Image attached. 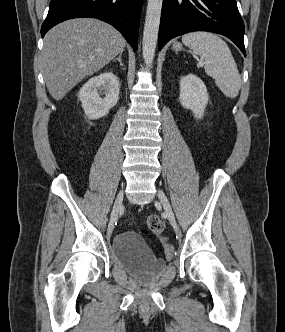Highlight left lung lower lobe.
Masks as SVG:
<instances>
[{"label":"left lung lower lobe","mask_w":285,"mask_h":332,"mask_svg":"<svg viewBox=\"0 0 285 332\" xmlns=\"http://www.w3.org/2000/svg\"><path fill=\"white\" fill-rule=\"evenodd\" d=\"M193 31L222 34L246 56L244 23L236 0H163L158 49L170 39Z\"/></svg>","instance_id":"left-lung-lower-lobe-1"}]
</instances>
